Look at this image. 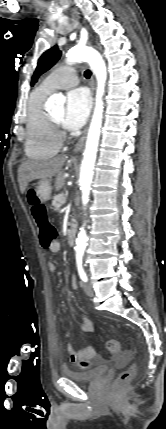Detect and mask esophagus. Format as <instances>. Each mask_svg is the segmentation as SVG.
Listing matches in <instances>:
<instances>
[{"mask_svg": "<svg viewBox=\"0 0 166 429\" xmlns=\"http://www.w3.org/2000/svg\"><path fill=\"white\" fill-rule=\"evenodd\" d=\"M78 17H79L78 12L73 11L72 18L73 19H78ZM91 91H92V95L94 96V92H95V80H94L93 76L91 78ZM86 134H87V128L84 130L83 135L81 136V138L79 139V141L75 145L74 153H78L79 151H81V149H82V147L84 145L85 139H86Z\"/></svg>", "mask_w": 166, "mask_h": 429, "instance_id": "34e87169", "label": "esophagus"}]
</instances>
